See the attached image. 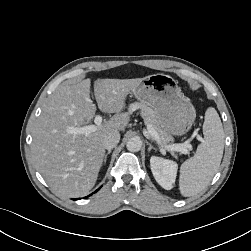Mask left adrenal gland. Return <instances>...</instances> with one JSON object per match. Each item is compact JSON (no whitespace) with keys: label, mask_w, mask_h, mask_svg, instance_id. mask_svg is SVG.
<instances>
[{"label":"left adrenal gland","mask_w":251,"mask_h":251,"mask_svg":"<svg viewBox=\"0 0 251 251\" xmlns=\"http://www.w3.org/2000/svg\"><path fill=\"white\" fill-rule=\"evenodd\" d=\"M149 147H148V151L154 149L155 151H157V149L151 144V143H148Z\"/></svg>","instance_id":"obj_1"}]
</instances>
